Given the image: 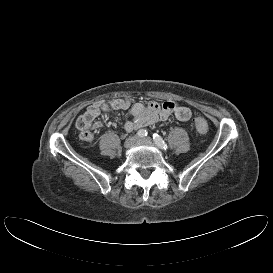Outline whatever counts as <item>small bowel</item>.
I'll return each instance as SVG.
<instances>
[{
  "label": "small bowel",
  "mask_w": 273,
  "mask_h": 273,
  "mask_svg": "<svg viewBox=\"0 0 273 273\" xmlns=\"http://www.w3.org/2000/svg\"><path fill=\"white\" fill-rule=\"evenodd\" d=\"M127 109L130 110L131 119L124 122L123 126L126 131L153 125L170 116H174L179 121H188L192 115L188 107L174 101L149 102L146 105L133 103L128 98L98 101L90 105L76 120L75 127L79 138L84 142H91L94 139V131L101 126V123L96 120L101 113Z\"/></svg>",
  "instance_id": "c3829d8e"
}]
</instances>
